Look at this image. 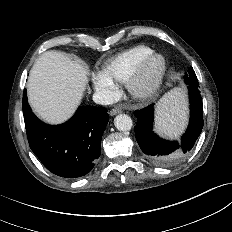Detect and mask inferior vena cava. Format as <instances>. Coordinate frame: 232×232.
<instances>
[{
  "instance_id": "inferior-vena-cava-1",
  "label": "inferior vena cava",
  "mask_w": 232,
  "mask_h": 232,
  "mask_svg": "<svg viewBox=\"0 0 232 232\" xmlns=\"http://www.w3.org/2000/svg\"><path fill=\"white\" fill-rule=\"evenodd\" d=\"M93 101L101 105H110L113 103V99L105 92H95L93 94Z\"/></svg>"
}]
</instances>
